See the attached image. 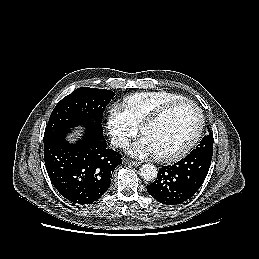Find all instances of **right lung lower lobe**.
<instances>
[{
    "label": "right lung lower lobe",
    "instance_id": "right-lung-lower-lobe-1",
    "mask_svg": "<svg viewBox=\"0 0 259 259\" xmlns=\"http://www.w3.org/2000/svg\"><path fill=\"white\" fill-rule=\"evenodd\" d=\"M69 131L44 141L46 169L63 197L73 203L90 204L108 190L122 156L108 148L103 134L85 130L72 144L66 140Z\"/></svg>",
    "mask_w": 259,
    "mask_h": 259
}]
</instances>
